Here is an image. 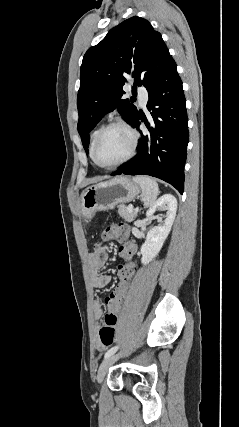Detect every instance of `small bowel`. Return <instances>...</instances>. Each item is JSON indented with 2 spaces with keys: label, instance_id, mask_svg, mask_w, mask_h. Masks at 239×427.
<instances>
[{
  "label": "small bowel",
  "instance_id": "obj_1",
  "mask_svg": "<svg viewBox=\"0 0 239 427\" xmlns=\"http://www.w3.org/2000/svg\"><path fill=\"white\" fill-rule=\"evenodd\" d=\"M136 252V251H135ZM109 250L105 247L99 248L88 255V265L91 273L92 285L96 289L106 287L110 281L111 276L101 273V269L105 266L108 260ZM106 307L108 305H105ZM93 314L96 320H99L103 314V304L99 299L93 303ZM99 350L104 349L101 343L97 344Z\"/></svg>",
  "mask_w": 239,
  "mask_h": 427
}]
</instances>
